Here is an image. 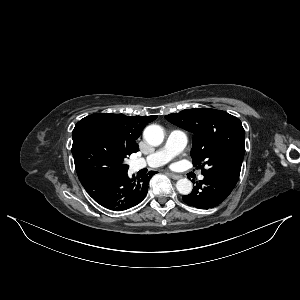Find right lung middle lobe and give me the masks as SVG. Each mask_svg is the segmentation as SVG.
<instances>
[{
    "label": "right lung middle lobe",
    "instance_id": "dd1d6c3e",
    "mask_svg": "<svg viewBox=\"0 0 300 300\" xmlns=\"http://www.w3.org/2000/svg\"><path fill=\"white\" fill-rule=\"evenodd\" d=\"M72 154L79 180L103 174H124V159L132 153L93 115L83 118L72 132Z\"/></svg>",
    "mask_w": 300,
    "mask_h": 300
}]
</instances>
